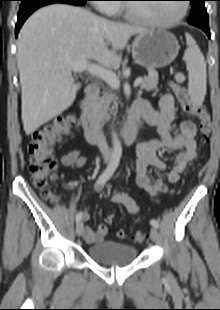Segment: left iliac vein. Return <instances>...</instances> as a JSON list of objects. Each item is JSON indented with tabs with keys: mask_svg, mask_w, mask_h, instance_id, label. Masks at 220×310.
<instances>
[{
	"mask_svg": "<svg viewBox=\"0 0 220 310\" xmlns=\"http://www.w3.org/2000/svg\"><path fill=\"white\" fill-rule=\"evenodd\" d=\"M158 230L156 227H152L151 230H150V238L153 242H157L158 241Z\"/></svg>",
	"mask_w": 220,
	"mask_h": 310,
	"instance_id": "4c4485c4",
	"label": "left iliac vein"
}]
</instances>
